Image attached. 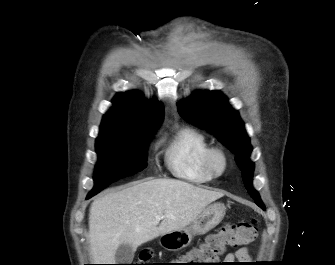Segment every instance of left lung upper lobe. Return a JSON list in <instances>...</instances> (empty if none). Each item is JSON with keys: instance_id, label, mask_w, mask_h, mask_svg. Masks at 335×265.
Returning a JSON list of instances; mask_svg holds the SVG:
<instances>
[{"instance_id": "left-lung-upper-lobe-1", "label": "left lung upper lobe", "mask_w": 335, "mask_h": 265, "mask_svg": "<svg viewBox=\"0 0 335 265\" xmlns=\"http://www.w3.org/2000/svg\"><path fill=\"white\" fill-rule=\"evenodd\" d=\"M182 117L214 134L232 153L242 171L243 182L255 203L265 209L259 194L252 187L254 164L249 160L252 146L244 123L226 97L219 91H199L177 104Z\"/></svg>"}]
</instances>
